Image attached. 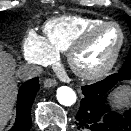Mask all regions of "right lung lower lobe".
<instances>
[{
    "label": "right lung lower lobe",
    "mask_w": 131,
    "mask_h": 131,
    "mask_svg": "<svg viewBox=\"0 0 131 131\" xmlns=\"http://www.w3.org/2000/svg\"><path fill=\"white\" fill-rule=\"evenodd\" d=\"M39 78L27 81L19 89L17 98V112L14 126L9 131H30L31 127V106L39 91Z\"/></svg>",
    "instance_id": "98d812e1"
}]
</instances>
